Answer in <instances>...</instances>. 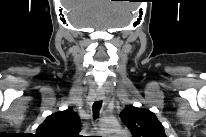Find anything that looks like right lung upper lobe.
<instances>
[{
    "instance_id": "1",
    "label": "right lung upper lobe",
    "mask_w": 206,
    "mask_h": 137,
    "mask_svg": "<svg viewBox=\"0 0 206 137\" xmlns=\"http://www.w3.org/2000/svg\"><path fill=\"white\" fill-rule=\"evenodd\" d=\"M81 130L79 116L71 108L49 115L38 126V137H78Z\"/></svg>"
}]
</instances>
